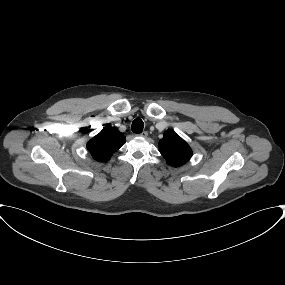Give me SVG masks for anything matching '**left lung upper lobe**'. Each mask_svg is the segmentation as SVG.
<instances>
[{"instance_id": "left-lung-upper-lobe-1", "label": "left lung upper lobe", "mask_w": 285, "mask_h": 285, "mask_svg": "<svg viewBox=\"0 0 285 285\" xmlns=\"http://www.w3.org/2000/svg\"><path fill=\"white\" fill-rule=\"evenodd\" d=\"M159 151L173 167L185 164L192 156L189 145L175 132L168 130L164 137L159 141Z\"/></svg>"}]
</instances>
